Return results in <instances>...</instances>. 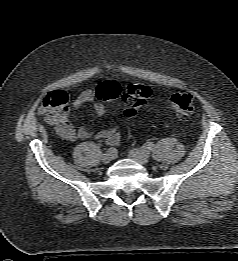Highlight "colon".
<instances>
[{"mask_svg": "<svg viewBox=\"0 0 238 261\" xmlns=\"http://www.w3.org/2000/svg\"><path fill=\"white\" fill-rule=\"evenodd\" d=\"M96 96L104 101L122 98L125 105L124 114L127 118L136 117L151 96V90L142 83H133L122 92L120 85L115 81L101 83L96 88ZM68 96L65 92L55 91L44 97L41 112L51 124L58 123L67 116ZM171 107L180 119H187L193 112L194 100L189 92L178 91L170 98Z\"/></svg>", "mask_w": 238, "mask_h": 261, "instance_id": "1", "label": "colon"}]
</instances>
